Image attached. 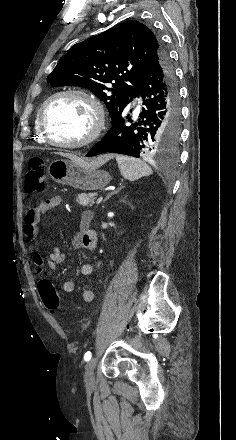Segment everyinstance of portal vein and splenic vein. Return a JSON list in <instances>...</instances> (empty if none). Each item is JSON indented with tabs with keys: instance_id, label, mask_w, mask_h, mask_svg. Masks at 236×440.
Here are the masks:
<instances>
[{
	"instance_id": "portal-vein-and-splenic-vein-1",
	"label": "portal vein and splenic vein",
	"mask_w": 236,
	"mask_h": 440,
	"mask_svg": "<svg viewBox=\"0 0 236 440\" xmlns=\"http://www.w3.org/2000/svg\"><path fill=\"white\" fill-rule=\"evenodd\" d=\"M103 200V197H99L97 203H100Z\"/></svg>"
}]
</instances>
